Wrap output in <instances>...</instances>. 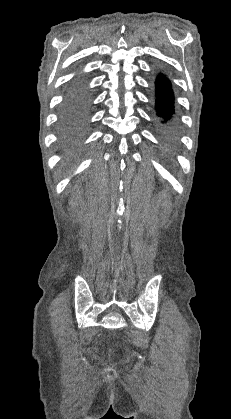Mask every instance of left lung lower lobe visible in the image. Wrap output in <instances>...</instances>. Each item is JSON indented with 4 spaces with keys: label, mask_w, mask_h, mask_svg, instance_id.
Segmentation results:
<instances>
[{
    "label": "left lung lower lobe",
    "mask_w": 231,
    "mask_h": 419,
    "mask_svg": "<svg viewBox=\"0 0 231 419\" xmlns=\"http://www.w3.org/2000/svg\"><path fill=\"white\" fill-rule=\"evenodd\" d=\"M155 108L160 118V128L167 141L172 142L176 137L174 95L171 83L166 76L159 74L156 78Z\"/></svg>",
    "instance_id": "0a47b994"
}]
</instances>
